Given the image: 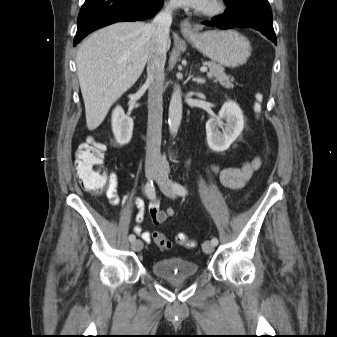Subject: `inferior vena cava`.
<instances>
[{
  "instance_id": "obj_1",
  "label": "inferior vena cava",
  "mask_w": 337,
  "mask_h": 337,
  "mask_svg": "<svg viewBox=\"0 0 337 337\" xmlns=\"http://www.w3.org/2000/svg\"><path fill=\"white\" fill-rule=\"evenodd\" d=\"M176 7L175 3L166 5L153 21L147 25V29L152 33V40L147 62L146 80L149 88L146 163H159L161 160L164 66L169 30L172 23V12Z\"/></svg>"
}]
</instances>
